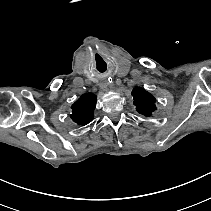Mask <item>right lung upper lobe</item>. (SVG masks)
Returning <instances> with one entry per match:
<instances>
[{
	"label": "right lung upper lobe",
	"instance_id": "obj_1",
	"mask_svg": "<svg viewBox=\"0 0 211 211\" xmlns=\"http://www.w3.org/2000/svg\"><path fill=\"white\" fill-rule=\"evenodd\" d=\"M96 106V95L92 93L83 94L73 105L71 118L78 125L90 123L94 117Z\"/></svg>",
	"mask_w": 211,
	"mask_h": 211
}]
</instances>
